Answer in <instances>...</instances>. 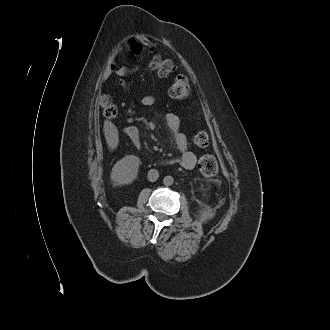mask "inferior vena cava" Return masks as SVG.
<instances>
[{
	"instance_id": "obj_1",
	"label": "inferior vena cava",
	"mask_w": 330,
	"mask_h": 330,
	"mask_svg": "<svg viewBox=\"0 0 330 330\" xmlns=\"http://www.w3.org/2000/svg\"><path fill=\"white\" fill-rule=\"evenodd\" d=\"M147 178L150 182H155L159 178V172L156 169H150Z\"/></svg>"
}]
</instances>
